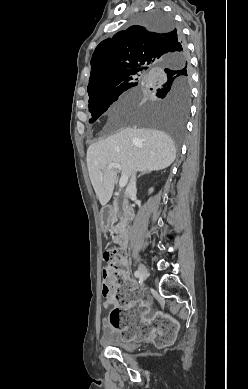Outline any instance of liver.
<instances>
[{
  "mask_svg": "<svg viewBox=\"0 0 248 389\" xmlns=\"http://www.w3.org/2000/svg\"><path fill=\"white\" fill-rule=\"evenodd\" d=\"M136 104V103H133ZM176 158L171 137L156 129L128 127L91 144L87 149V168L92 186L102 206L110 200L118 170L108 168L119 163L121 172L131 176L169 167Z\"/></svg>",
  "mask_w": 248,
  "mask_h": 389,
  "instance_id": "6515ba94",
  "label": "liver"
}]
</instances>
